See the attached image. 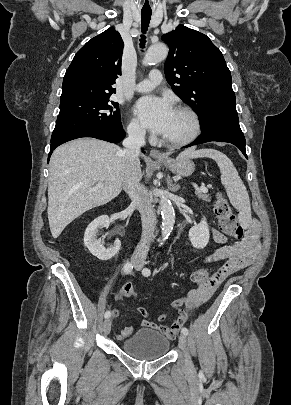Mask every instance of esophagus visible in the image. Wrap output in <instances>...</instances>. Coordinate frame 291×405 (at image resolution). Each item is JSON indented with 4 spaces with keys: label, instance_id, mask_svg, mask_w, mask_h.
I'll return each mask as SVG.
<instances>
[{
    "label": "esophagus",
    "instance_id": "obj_1",
    "mask_svg": "<svg viewBox=\"0 0 291 405\" xmlns=\"http://www.w3.org/2000/svg\"><path fill=\"white\" fill-rule=\"evenodd\" d=\"M150 156H151L153 159H158V160L164 158V155H163L159 150H157V149H152V150L150 151Z\"/></svg>",
    "mask_w": 291,
    "mask_h": 405
}]
</instances>
